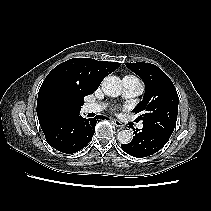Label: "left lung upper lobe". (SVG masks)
Here are the masks:
<instances>
[{"mask_svg":"<svg viewBox=\"0 0 211 211\" xmlns=\"http://www.w3.org/2000/svg\"><path fill=\"white\" fill-rule=\"evenodd\" d=\"M145 84L143 100L134 108L141 113L138 120L143 128L169 140L177 120L179 98L170 78L156 65L150 63H126Z\"/></svg>","mask_w":211,"mask_h":211,"instance_id":"obj_1","label":"left lung upper lobe"}]
</instances>
